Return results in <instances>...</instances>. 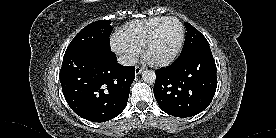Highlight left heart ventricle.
Instances as JSON below:
<instances>
[{
	"mask_svg": "<svg viewBox=\"0 0 276 138\" xmlns=\"http://www.w3.org/2000/svg\"><path fill=\"white\" fill-rule=\"evenodd\" d=\"M180 35L181 29L176 21L170 20L164 23L149 51V57L159 60L170 56L179 42Z\"/></svg>",
	"mask_w": 276,
	"mask_h": 138,
	"instance_id": "1",
	"label": "left heart ventricle"
}]
</instances>
